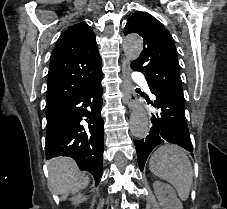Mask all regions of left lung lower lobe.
<instances>
[{
  "label": "left lung lower lobe",
  "mask_w": 227,
  "mask_h": 209,
  "mask_svg": "<svg viewBox=\"0 0 227 209\" xmlns=\"http://www.w3.org/2000/svg\"><path fill=\"white\" fill-rule=\"evenodd\" d=\"M151 93L154 94L153 92ZM154 95L155 101H150V104L158 108L159 111L152 113V128L149 131V135L145 139L134 141L141 171H143L151 151L160 144L169 142L177 144L191 153L193 152L185 118V105L160 94ZM191 155L193 156V154Z\"/></svg>",
  "instance_id": "obj_1"
}]
</instances>
